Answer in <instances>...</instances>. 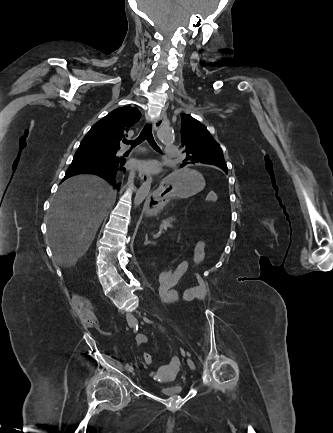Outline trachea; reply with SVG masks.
<instances>
[{"label": "trachea", "instance_id": "3493384b", "mask_svg": "<svg viewBox=\"0 0 333 433\" xmlns=\"http://www.w3.org/2000/svg\"><path fill=\"white\" fill-rule=\"evenodd\" d=\"M144 140H147L148 143L150 144V146L155 149L156 151H161L160 148L158 147V145L156 144L153 134H152V125L150 124H146L144 126V128L142 129L140 135L138 136V138H136L133 141H127L125 140L124 142L126 144H131L132 147H135L136 145L142 143Z\"/></svg>", "mask_w": 333, "mask_h": 433}]
</instances>
